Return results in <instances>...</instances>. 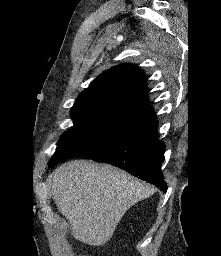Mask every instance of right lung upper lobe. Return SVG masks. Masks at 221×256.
I'll use <instances>...</instances> for the list:
<instances>
[{"label": "right lung upper lobe", "instance_id": "obj_1", "mask_svg": "<svg viewBox=\"0 0 221 256\" xmlns=\"http://www.w3.org/2000/svg\"><path fill=\"white\" fill-rule=\"evenodd\" d=\"M115 108L133 116H144L145 122L155 113L147 98L145 74L133 64H121L103 72L76 99L71 111Z\"/></svg>", "mask_w": 221, "mask_h": 256}]
</instances>
